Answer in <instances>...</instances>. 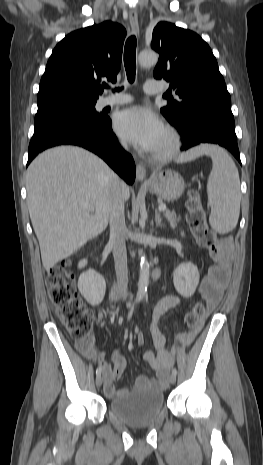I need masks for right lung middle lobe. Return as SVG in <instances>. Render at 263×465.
I'll return each instance as SVG.
<instances>
[{
    "label": "right lung middle lobe",
    "mask_w": 263,
    "mask_h": 465,
    "mask_svg": "<svg viewBox=\"0 0 263 465\" xmlns=\"http://www.w3.org/2000/svg\"><path fill=\"white\" fill-rule=\"evenodd\" d=\"M97 99L76 96H59L37 101L35 121L53 115H73L85 119H99L103 115L95 110Z\"/></svg>",
    "instance_id": "dd1d6c3e"
}]
</instances>
